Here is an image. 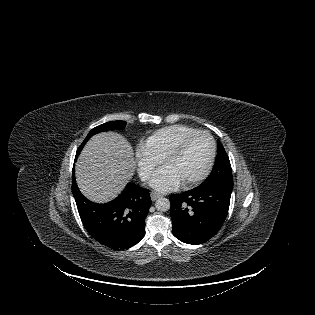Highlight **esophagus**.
Instances as JSON below:
<instances>
[{"instance_id": "1", "label": "esophagus", "mask_w": 315, "mask_h": 315, "mask_svg": "<svg viewBox=\"0 0 315 315\" xmlns=\"http://www.w3.org/2000/svg\"><path fill=\"white\" fill-rule=\"evenodd\" d=\"M162 195L157 193V192H151L150 197L152 201H155L156 199H158L159 197H161Z\"/></svg>"}]
</instances>
